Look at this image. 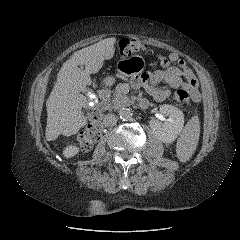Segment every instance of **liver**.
Segmentation results:
<instances>
[{"instance_id": "1", "label": "liver", "mask_w": 240, "mask_h": 240, "mask_svg": "<svg viewBox=\"0 0 240 240\" xmlns=\"http://www.w3.org/2000/svg\"><path fill=\"white\" fill-rule=\"evenodd\" d=\"M115 42L116 38L103 39L76 51L62 65L46 101L47 140H55L59 135H75L86 125L87 119L82 112L86 98L82 93L91 84L90 74L97 73L104 61L114 56ZM78 65H85V70H81Z\"/></svg>"}]
</instances>
